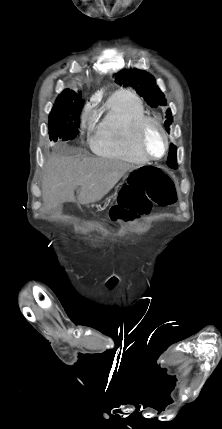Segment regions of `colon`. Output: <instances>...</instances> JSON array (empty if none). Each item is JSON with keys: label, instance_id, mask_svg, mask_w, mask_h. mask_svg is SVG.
Here are the masks:
<instances>
[{"label": "colon", "instance_id": "obj_1", "mask_svg": "<svg viewBox=\"0 0 222 429\" xmlns=\"http://www.w3.org/2000/svg\"><path fill=\"white\" fill-rule=\"evenodd\" d=\"M177 200L171 177L161 168L142 165L130 175L111 208L112 220H131L150 212L153 204L167 207Z\"/></svg>", "mask_w": 222, "mask_h": 429}]
</instances>
